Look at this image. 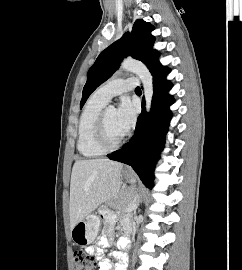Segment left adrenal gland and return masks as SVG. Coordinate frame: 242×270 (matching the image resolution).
I'll list each match as a JSON object with an SVG mask.
<instances>
[{
  "instance_id": "1",
  "label": "left adrenal gland",
  "mask_w": 242,
  "mask_h": 270,
  "mask_svg": "<svg viewBox=\"0 0 242 270\" xmlns=\"http://www.w3.org/2000/svg\"><path fill=\"white\" fill-rule=\"evenodd\" d=\"M139 202H140V199H139V197H137V202H136V207H135V210H136V208L138 207ZM135 210H134V211H135Z\"/></svg>"
}]
</instances>
